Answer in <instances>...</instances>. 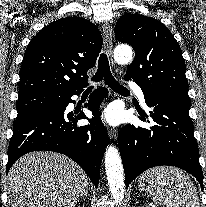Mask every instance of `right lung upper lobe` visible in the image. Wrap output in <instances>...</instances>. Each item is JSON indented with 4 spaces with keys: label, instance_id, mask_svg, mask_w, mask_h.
<instances>
[{
    "label": "right lung upper lobe",
    "instance_id": "obj_1",
    "mask_svg": "<svg viewBox=\"0 0 206 207\" xmlns=\"http://www.w3.org/2000/svg\"><path fill=\"white\" fill-rule=\"evenodd\" d=\"M102 48L98 28L69 17L44 27L28 44L20 68L19 98L34 94L65 95L83 88L87 71Z\"/></svg>",
    "mask_w": 206,
    "mask_h": 207
}]
</instances>
